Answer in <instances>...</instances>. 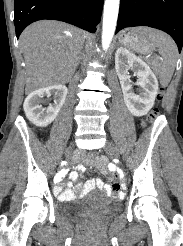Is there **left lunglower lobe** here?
Instances as JSON below:
<instances>
[{
    "instance_id": "0a47b994",
    "label": "left lung lower lobe",
    "mask_w": 183,
    "mask_h": 246,
    "mask_svg": "<svg viewBox=\"0 0 183 246\" xmlns=\"http://www.w3.org/2000/svg\"><path fill=\"white\" fill-rule=\"evenodd\" d=\"M134 26H149L168 33L180 52L183 46V0H121L116 33Z\"/></svg>"
}]
</instances>
